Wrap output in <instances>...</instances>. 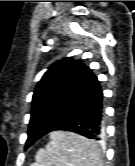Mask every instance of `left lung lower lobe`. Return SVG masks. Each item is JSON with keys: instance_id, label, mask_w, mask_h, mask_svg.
Returning a JSON list of instances; mask_svg holds the SVG:
<instances>
[{"instance_id": "1", "label": "left lung lower lobe", "mask_w": 135, "mask_h": 166, "mask_svg": "<svg viewBox=\"0 0 135 166\" xmlns=\"http://www.w3.org/2000/svg\"><path fill=\"white\" fill-rule=\"evenodd\" d=\"M103 98L97 77L85 66L62 108L41 124H29L25 149L56 130L71 131L93 140H101L104 133Z\"/></svg>"}]
</instances>
